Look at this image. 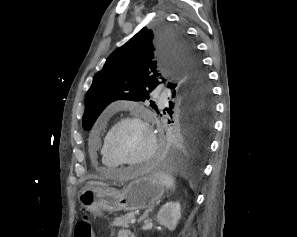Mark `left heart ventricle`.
<instances>
[{
	"mask_svg": "<svg viewBox=\"0 0 297 237\" xmlns=\"http://www.w3.org/2000/svg\"><path fill=\"white\" fill-rule=\"evenodd\" d=\"M111 146L119 157L125 160H137L149 149V137L138 123H126L112 135Z\"/></svg>",
	"mask_w": 297,
	"mask_h": 237,
	"instance_id": "1",
	"label": "left heart ventricle"
}]
</instances>
